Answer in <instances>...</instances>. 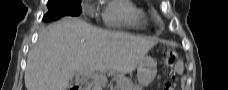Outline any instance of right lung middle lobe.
I'll return each instance as SVG.
<instances>
[{
  "mask_svg": "<svg viewBox=\"0 0 228 90\" xmlns=\"http://www.w3.org/2000/svg\"><path fill=\"white\" fill-rule=\"evenodd\" d=\"M82 0H48L47 7L51 17L64 15L78 16Z\"/></svg>",
  "mask_w": 228,
  "mask_h": 90,
  "instance_id": "1",
  "label": "right lung middle lobe"
}]
</instances>
